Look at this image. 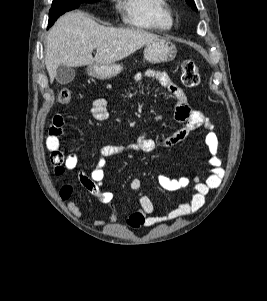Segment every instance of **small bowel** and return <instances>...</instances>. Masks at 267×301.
<instances>
[{
	"instance_id": "c3829d8e",
	"label": "small bowel",
	"mask_w": 267,
	"mask_h": 301,
	"mask_svg": "<svg viewBox=\"0 0 267 301\" xmlns=\"http://www.w3.org/2000/svg\"><path fill=\"white\" fill-rule=\"evenodd\" d=\"M141 77V74L137 75V79ZM147 77L149 80L157 81L174 96L176 101L175 120L181 127L172 136L161 140H156L142 134L135 142L128 145H105L99 149V157L90 173H86L81 169L78 170L77 176L80 185L101 203L110 207L107 220L98 219L96 221L98 225L116 223L119 219V213L113 206V193L103 188L105 178L103 168L107 157L126 152L148 153L159 148H169L184 140L195 129L203 127L206 130L205 143L211 155L209 160L211 170L210 174L204 180L199 177L188 176L172 178L161 173L157 176L159 186L167 191H177L192 186L193 194L189 200L184 201L167 214L160 215L156 212L153 201L142 191V181L138 178L131 181L130 188L138 197L140 204V209L132 213L128 218V224L134 228L140 226L150 227L177 220L197 212L204 205L207 194L211 190L216 189L224 177L225 172L222 167V161L218 156L219 141L214 123L200 111L191 108L185 91L174 83L168 74L164 72H149L147 73ZM91 113L96 120L104 121L108 119L109 111L106 99L102 97L95 99ZM63 125L64 120L62 115L55 114L46 138V148L50 152V161L57 176H62L66 170H75L78 168L77 155L75 153L65 154L61 149L60 138L63 134ZM72 194L73 187L70 184H63L59 189L60 199L67 202L68 210L75 217L80 218L82 211L71 199Z\"/></svg>"
}]
</instances>
